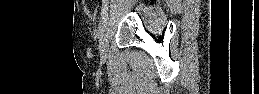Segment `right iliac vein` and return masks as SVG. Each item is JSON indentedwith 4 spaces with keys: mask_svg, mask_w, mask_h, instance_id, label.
<instances>
[{
    "mask_svg": "<svg viewBox=\"0 0 259 94\" xmlns=\"http://www.w3.org/2000/svg\"><path fill=\"white\" fill-rule=\"evenodd\" d=\"M108 38H109V25H108V22H105L102 28V31L100 32V38H99V49H100L101 56L103 58L106 57Z\"/></svg>",
    "mask_w": 259,
    "mask_h": 94,
    "instance_id": "1",
    "label": "right iliac vein"
}]
</instances>
